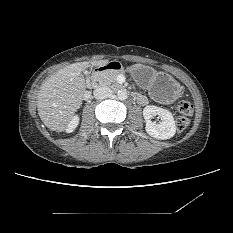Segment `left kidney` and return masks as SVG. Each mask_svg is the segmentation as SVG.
Returning <instances> with one entry per match:
<instances>
[{
    "label": "left kidney",
    "mask_w": 233,
    "mask_h": 233,
    "mask_svg": "<svg viewBox=\"0 0 233 233\" xmlns=\"http://www.w3.org/2000/svg\"><path fill=\"white\" fill-rule=\"evenodd\" d=\"M143 116L146 121V132L151 137L159 140H166L175 135L176 125L170 111L157 106L149 105L143 109ZM154 116L160 117L161 122L159 124L151 121Z\"/></svg>",
    "instance_id": "left-kidney-1"
}]
</instances>
